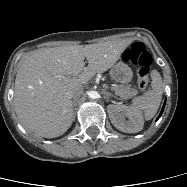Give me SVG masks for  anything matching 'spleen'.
<instances>
[{"instance_id":"3e777b00","label":"spleen","mask_w":187,"mask_h":187,"mask_svg":"<svg viewBox=\"0 0 187 187\" xmlns=\"http://www.w3.org/2000/svg\"><path fill=\"white\" fill-rule=\"evenodd\" d=\"M152 76V89L146 92L143 96L135 98L132 102V106L144 112L146 120H149L155 116L160 106L163 95V83L160 74L153 70Z\"/></svg>"}]
</instances>
